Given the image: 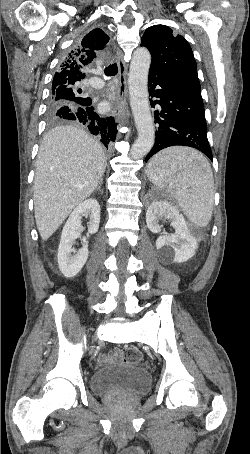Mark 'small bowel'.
<instances>
[{"label":"small bowel","mask_w":250,"mask_h":454,"mask_svg":"<svg viewBox=\"0 0 250 454\" xmlns=\"http://www.w3.org/2000/svg\"><path fill=\"white\" fill-rule=\"evenodd\" d=\"M113 355H115V353H114ZM108 360H109V356L102 355V356L99 357V361H100L101 363H105V362H107Z\"/></svg>","instance_id":"1"}]
</instances>
